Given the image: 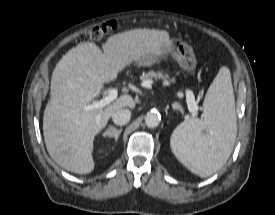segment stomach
Instances as JSON below:
<instances>
[{"label":"stomach","instance_id":"1","mask_svg":"<svg viewBox=\"0 0 275 215\" xmlns=\"http://www.w3.org/2000/svg\"><path fill=\"white\" fill-rule=\"evenodd\" d=\"M171 56L187 73H192L196 67V57L192 48L179 40L163 38L159 40L154 53L136 61L140 66L150 65L155 61Z\"/></svg>","mask_w":275,"mask_h":215}]
</instances>
